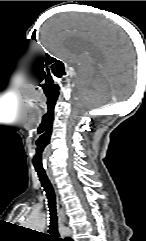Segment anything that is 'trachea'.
<instances>
[{
    "label": "trachea",
    "mask_w": 146,
    "mask_h": 241,
    "mask_svg": "<svg viewBox=\"0 0 146 241\" xmlns=\"http://www.w3.org/2000/svg\"><path fill=\"white\" fill-rule=\"evenodd\" d=\"M36 172L38 174L42 187L46 192V196L48 199L49 212H50V225H49L50 239L51 241H64L62 238H60V235L58 232L56 196L54 193L53 186L44 170L36 168Z\"/></svg>",
    "instance_id": "1"
}]
</instances>
